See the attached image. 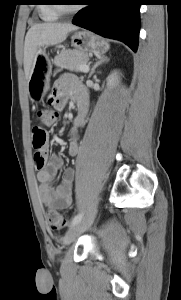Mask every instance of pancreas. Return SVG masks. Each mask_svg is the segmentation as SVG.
I'll use <instances>...</instances> for the list:
<instances>
[{
  "label": "pancreas",
  "instance_id": "pancreas-1",
  "mask_svg": "<svg viewBox=\"0 0 181 300\" xmlns=\"http://www.w3.org/2000/svg\"><path fill=\"white\" fill-rule=\"evenodd\" d=\"M89 55L77 50H64L58 54L54 59V64L61 69L69 71H80L81 65H87Z\"/></svg>",
  "mask_w": 181,
  "mask_h": 300
}]
</instances>
